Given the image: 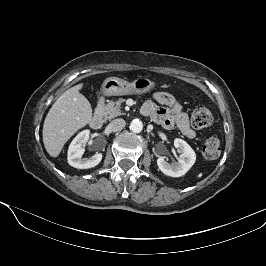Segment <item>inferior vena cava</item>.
<instances>
[{
    "label": "inferior vena cava",
    "mask_w": 266,
    "mask_h": 266,
    "mask_svg": "<svg viewBox=\"0 0 266 266\" xmlns=\"http://www.w3.org/2000/svg\"><path fill=\"white\" fill-rule=\"evenodd\" d=\"M126 125V122L124 119L122 118H117L114 119L110 122L109 124V128L113 131V132H117V131H121Z\"/></svg>",
    "instance_id": "obj_1"
}]
</instances>
